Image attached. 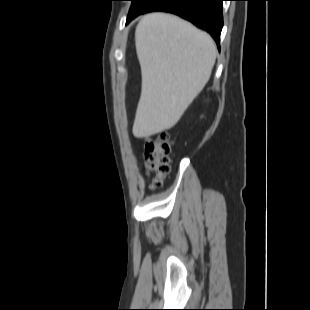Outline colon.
<instances>
[{
	"instance_id": "5ec220e1",
	"label": "colon",
	"mask_w": 310,
	"mask_h": 310,
	"mask_svg": "<svg viewBox=\"0 0 310 310\" xmlns=\"http://www.w3.org/2000/svg\"><path fill=\"white\" fill-rule=\"evenodd\" d=\"M143 159L147 173L152 175L151 188L160 187L170 170V144L167 133L162 132L145 139Z\"/></svg>"
}]
</instances>
